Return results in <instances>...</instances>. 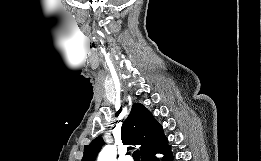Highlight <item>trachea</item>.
Segmentation results:
<instances>
[{
  "instance_id": "obj_1",
  "label": "trachea",
  "mask_w": 261,
  "mask_h": 161,
  "mask_svg": "<svg viewBox=\"0 0 261 161\" xmlns=\"http://www.w3.org/2000/svg\"><path fill=\"white\" fill-rule=\"evenodd\" d=\"M132 156H133L134 161H140L139 150L134 151Z\"/></svg>"
}]
</instances>
